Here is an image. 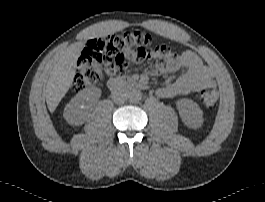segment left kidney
Wrapping results in <instances>:
<instances>
[{
    "label": "left kidney",
    "mask_w": 265,
    "mask_h": 202,
    "mask_svg": "<svg viewBox=\"0 0 265 202\" xmlns=\"http://www.w3.org/2000/svg\"><path fill=\"white\" fill-rule=\"evenodd\" d=\"M182 121L190 128L197 129L203 124V112L199 105L190 99H180L176 103Z\"/></svg>",
    "instance_id": "obj_1"
}]
</instances>
